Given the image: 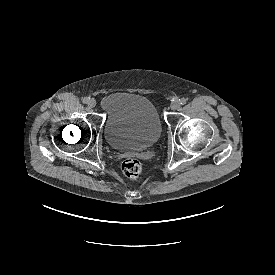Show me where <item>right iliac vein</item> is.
Here are the masks:
<instances>
[{
	"label": "right iliac vein",
	"mask_w": 275,
	"mask_h": 275,
	"mask_svg": "<svg viewBox=\"0 0 275 275\" xmlns=\"http://www.w3.org/2000/svg\"><path fill=\"white\" fill-rule=\"evenodd\" d=\"M88 106H89L90 108L95 107V106H96V100L93 99V98H91V99L88 101Z\"/></svg>",
	"instance_id": "63e3f726"
}]
</instances>
